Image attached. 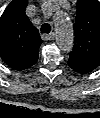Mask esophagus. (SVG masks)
Here are the masks:
<instances>
[{
	"label": "esophagus",
	"instance_id": "1",
	"mask_svg": "<svg viewBox=\"0 0 100 118\" xmlns=\"http://www.w3.org/2000/svg\"><path fill=\"white\" fill-rule=\"evenodd\" d=\"M42 38L44 40H53L55 38V33L52 32V33H49V34H43Z\"/></svg>",
	"mask_w": 100,
	"mask_h": 118
}]
</instances>
